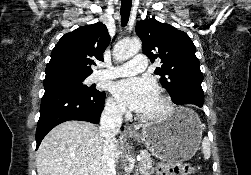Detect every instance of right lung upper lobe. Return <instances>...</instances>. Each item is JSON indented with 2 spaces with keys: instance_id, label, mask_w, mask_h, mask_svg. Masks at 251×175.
I'll list each match as a JSON object with an SVG mask.
<instances>
[{
  "instance_id": "cb5924a9",
  "label": "right lung upper lobe",
  "mask_w": 251,
  "mask_h": 175,
  "mask_svg": "<svg viewBox=\"0 0 251 175\" xmlns=\"http://www.w3.org/2000/svg\"><path fill=\"white\" fill-rule=\"evenodd\" d=\"M109 43L108 30L101 22L63 35L52 50L45 78L89 76L91 65H96L94 60L103 61L102 54Z\"/></svg>"
}]
</instances>
